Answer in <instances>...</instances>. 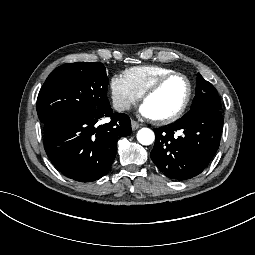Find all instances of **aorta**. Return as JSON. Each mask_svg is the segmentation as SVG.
<instances>
[{"label":"aorta","instance_id":"1","mask_svg":"<svg viewBox=\"0 0 255 255\" xmlns=\"http://www.w3.org/2000/svg\"><path fill=\"white\" fill-rule=\"evenodd\" d=\"M155 139L154 132L149 128H142L137 133V140L142 145H150Z\"/></svg>","mask_w":255,"mask_h":255}]
</instances>
